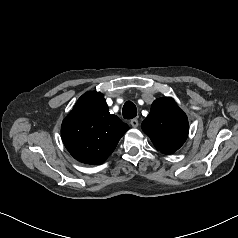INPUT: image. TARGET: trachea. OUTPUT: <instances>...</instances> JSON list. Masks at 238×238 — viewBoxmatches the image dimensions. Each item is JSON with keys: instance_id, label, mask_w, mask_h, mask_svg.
Returning a JSON list of instances; mask_svg holds the SVG:
<instances>
[{"instance_id": "3493384b", "label": "trachea", "mask_w": 238, "mask_h": 238, "mask_svg": "<svg viewBox=\"0 0 238 238\" xmlns=\"http://www.w3.org/2000/svg\"><path fill=\"white\" fill-rule=\"evenodd\" d=\"M123 117L125 119H132L137 115V108L131 101H127L123 106Z\"/></svg>"}]
</instances>
